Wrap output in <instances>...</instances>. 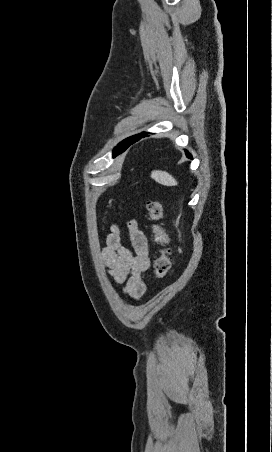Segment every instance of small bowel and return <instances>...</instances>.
<instances>
[{
	"label": "small bowel",
	"instance_id": "1",
	"mask_svg": "<svg viewBox=\"0 0 272 452\" xmlns=\"http://www.w3.org/2000/svg\"><path fill=\"white\" fill-rule=\"evenodd\" d=\"M132 250L123 244L121 232L113 226L106 237L101 257L110 278L122 286L123 292L139 299L145 292L144 277L150 267L147 238L135 220L126 224Z\"/></svg>",
	"mask_w": 272,
	"mask_h": 452
}]
</instances>
